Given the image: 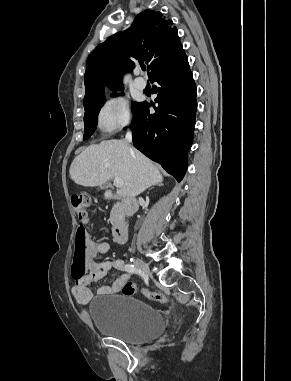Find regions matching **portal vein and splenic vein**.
<instances>
[{
    "mask_svg": "<svg viewBox=\"0 0 291 381\" xmlns=\"http://www.w3.org/2000/svg\"><path fill=\"white\" fill-rule=\"evenodd\" d=\"M123 184H124V182H123V180L121 178H118V177L114 178V185L116 187L120 188V187L123 186Z\"/></svg>",
    "mask_w": 291,
    "mask_h": 381,
    "instance_id": "obj_1",
    "label": "portal vein and splenic vein"
}]
</instances>
